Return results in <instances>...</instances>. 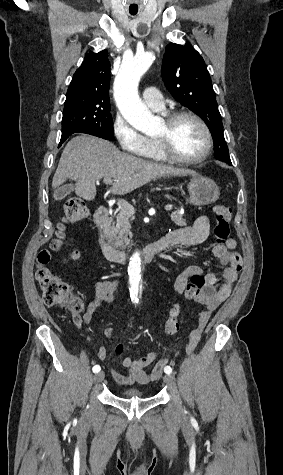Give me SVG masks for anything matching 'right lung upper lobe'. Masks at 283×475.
<instances>
[{
	"label": "right lung upper lobe",
	"mask_w": 283,
	"mask_h": 475,
	"mask_svg": "<svg viewBox=\"0 0 283 475\" xmlns=\"http://www.w3.org/2000/svg\"><path fill=\"white\" fill-rule=\"evenodd\" d=\"M107 50L98 53H88L67 91L66 98L102 99L108 100L110 63Z\"/></svg>",
	"instance_id": "right-lung-upper-lobe-1"
}]
</instances>
